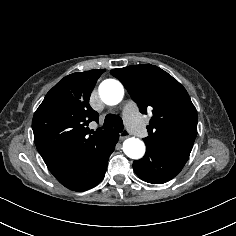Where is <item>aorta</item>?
<instances>
[{
	"label": "aorta",
	"mask_w": 236,
	"mask_h": 236,
	"mask_svg": "<svg viewBox=\"0 0 236 236\" xmlns=\"http://www.w3.org/2000/svg\"><path fill=\"white\" fill-rule=\"evenodd\" d=\"M101 100L107 105H116L124 96L122 84L115 79H106L99 86ZM124 153L131 159H140L145 154V144L138 138H128L123 143Z\"/></svg>",
	"instance_id": "aorta-1"
}]
</instances>
